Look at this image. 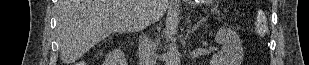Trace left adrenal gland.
Returning a JSON list of instances; mask_svg holds the SVG:
<instances>
[{
	"mask_svg": "<svg viewBox=\"0 0 309 65\" xmlns=\"http://www.w3.org/2000/svg\"><path fill=\"white\" fill-rule=\"evenodd\" d=\"M204 21V18L201 19L199 22H197L193 27L192 25L190 24L189 25V30H188V34L191 33V32H194L198 29V27H200V25L202 24V22Z\"/></svg>",
	"mask_w": 309,
	"mask_h": 65,
	"instance_id": "1",
	"label": "left adrenal gland"
}]
</instances>
